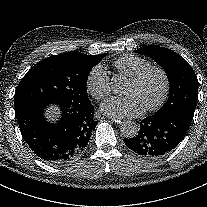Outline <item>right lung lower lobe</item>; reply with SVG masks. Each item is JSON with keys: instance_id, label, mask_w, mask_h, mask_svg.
<instances>
[{"instance_id": "obj_1", "label": "right lung lower lobe", "mask_w": 207, "mask_h": 207, "mask_svg": "<svg viewBox=\"0 0 207 207\" xmlns=\"http://www.w3.org/2000/svg\"><path fill=\"white\" fill-rule=\"evenodd\" d=\"M60 106L61 118L52 123L43 117L46 106L16 114L21 134L32 151L56 166L70 163L84 152L98 123L91 102Z\"/></svg>"}]
</instances>
